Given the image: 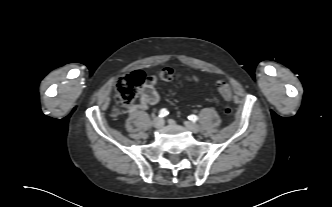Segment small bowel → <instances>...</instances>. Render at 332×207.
Masks as SVG:
<instances>
[{
  "label": "small bowel",
  "instance_id": "small-bowel-1",
  "mask_svg": "<svg viewBox=\"0 0 332 207\" xmlns=\"http://www.w3.org/2000/svg\"><path fill=\"white\" fill-rule=\"evenodd\" d=\"M185 81L189 83L198 82V77L193 73H188L185 76ZM156 80L150 78L144 85L140 100L131 107L132 112L147 109L150 105H155L160 101V95L156 90Z\"/></svg>",
  "mask_w": 332,
  "mask_h": 207
}]
</instances>
